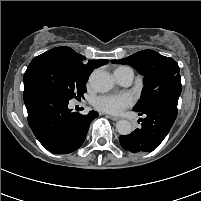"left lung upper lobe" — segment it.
<instances>
[{"instance_id":"1","label":"left lung upper lobe","mask_w":201,"mask_h":201,"mask_svg":"<svg viewBox=\"0 0 201 201\" xmlns=\"http://www.w3.org/2000/svg\"><path fill=\"white\" fill-rule=\"evenodd\" d=\"M114 64H128L144 75L141 99L134 107L143 111L159 102L178 104L181 94V77L178 64L153 50L139 51L127 58L112 60Z\"/></svg>"}]
</instances>
